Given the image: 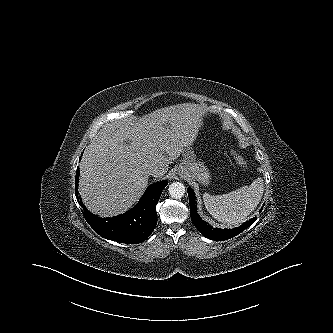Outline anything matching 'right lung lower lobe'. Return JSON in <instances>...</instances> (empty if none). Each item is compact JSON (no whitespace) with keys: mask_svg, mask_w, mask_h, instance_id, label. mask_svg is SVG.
<instances>
[{"mask_svg":"<svg viewBox=\"0 0 333 333\" xmlns=\"http://www.w3.org/2000/svg\"><path fill=\"white\" fill-rule=\"evenodd\" d=\"M79 167L76 172V196L83 208V216L92 229L100 236L121 243L137 244L148 238L157 224L156 205L162 190L167 185L161 181L150 185L138 204L123 215L112 218H100L87 211L81 199L78 197L77 186Z\"/></svg>","mask_w":333,"mask_h":333,"instance_id":"98d812e1","label":"right lung lower lobe"}]
</instances>
